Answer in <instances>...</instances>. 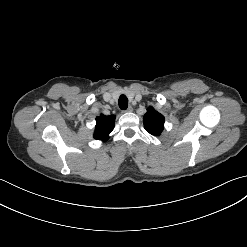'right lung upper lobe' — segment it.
Wrapping results in <instances>:
<instances>
[{
    "instance_id": "1",
    "label": "right lung upper lobe",
    "mask_w": 247,
    "mask_h": 247,
    "mask_svg": "<svg viewBox=\"0 0 247 247\" xmlns=\"http://www.w3.org/2000/svg\"><path fill=\"white\" fill-rule=\"evenodd\" d=\"M115 115L105 116L101 114L96 118V127L94 138L97 140L106 141L109 134L114 129Z\"/></svg>"
}]
</instances>
